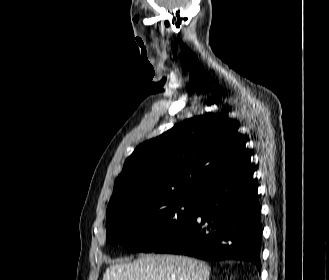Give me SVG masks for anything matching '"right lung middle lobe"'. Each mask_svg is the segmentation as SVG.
I'll list each match as a JSON object with an SVG mask.
<instances>
[{
  "mask_svg": "<svg viewBox=\"0 0 329 280\" xmlns=\"http://www.w3.org/2000/svg\"><path fill=\"white\" fill-rule=\"evenodd\" d=\"M199 198L148 196L107 208V240L130 252H152L191 219Z\"/></svg>",
  "mask_w": 329,
  "mask_h": 280,
  "instance_id": "right-lung-middle-lobe-1",
  "label": "right lung middle lobe"
}]
</instances>
